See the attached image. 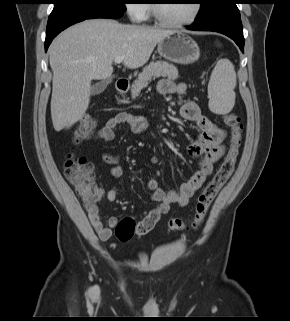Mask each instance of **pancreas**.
I'll list each match as a JSON object with an SVG mask.
<instances>
[{
	"label": "pancreas",
	"instance_id": "obj_1",
	"mask_svg": "<svg viewBox=\"0 0 290 321\" xmlns=\"http://www.w3.org/2000/svg\"><path fill=\"white\" fill-rule=\"evenodd\" d=\"M159 77H168L169 79L175 80L178 78V70L174 65L165 61L151 62L139 73L138 78L134 81L131 88L132 97H137L152 79Z\"/></svg>",
	"mask_w": 290,
	"mask_h": 321
}]
</instances>
